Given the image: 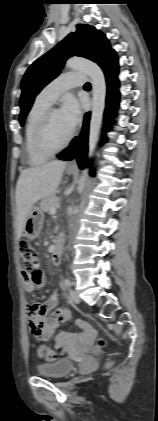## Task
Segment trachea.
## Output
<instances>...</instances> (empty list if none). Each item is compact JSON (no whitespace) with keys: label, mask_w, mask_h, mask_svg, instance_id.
Masks as SVG:
<instances>
[{"label":"trachea","mask_w":158,"mask_h":421,"mask_svg":"<svg viewBox=\"0 0 158 421\" xmlns=\"http://www.w3.org/2000/svg\"><path fill=\"white\" fill-rule=\"evenodd\" d=\"M84 87H85V88H90V87H91V85H90V83H86V84L84 85Z\"/></svg>","instance_id":"trachea-1"}]
</instances>
